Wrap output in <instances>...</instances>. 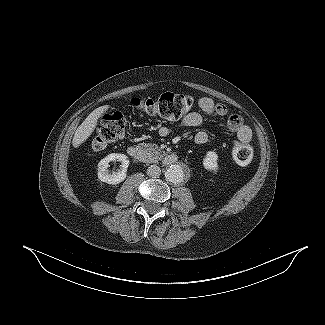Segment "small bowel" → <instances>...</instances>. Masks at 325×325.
<instances>
[{
  "instance_id": "obj_1",
  "label": "small bowel",
  "mask_w": 325,
  "mask_h": 325,
  "mask_svg": "<svg viewBox=\"0 0 325 325\" xmlns=\"http://www.w3.org/2000/svg\"><path fill=\"white\" fill-rule=\"evenodd\" d=\"M198 107L207 115L225 116L228 113L226 105L216 103L209 97H202L198 101ZM203 123V117L198 112H191L184 116L181 121L182 126L198 127ZM227 128L234 133L240 143L248 144L252 139L251 129L244 124L243 119L238 114H232L228 117ZM171 130L168 126H161L158 133L162 137L170 134ZM208 140V134L204 130H199L194 135V141L197 144H203Z\"/></svg>"
}]
</instances>
